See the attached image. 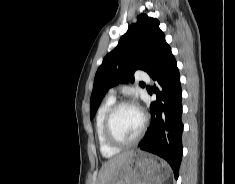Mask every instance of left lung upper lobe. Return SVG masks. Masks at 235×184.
<instances>
[{"instance_id":"obj_1","label":"left lung upper lobe","mask_w":235,"mask_h":184,"mask_svg":"<svg viewBox=\"0 0 235 184\" xmlns=\"http://www.w3.org/2000/svg\"><path fill=\"white\" fill-rule=\"evenodd\" d=\"M165 40L157 19L141 14L130 25L117 47L108 53L99 66L90 100L92 119L107 90L119 83L133 82L138 69L149 72L159 45Z\"/></svg>"}]
</instances>
